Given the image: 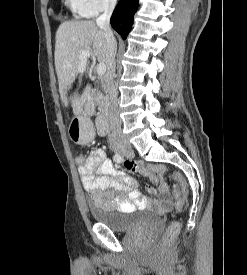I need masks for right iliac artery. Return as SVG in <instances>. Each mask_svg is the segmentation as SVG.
Returning <instances> with one entry per match:
<instances>
[{
  "label": "right iliac artery",
  "instance_id": "right-iliac-artery-1",
  "mask_svg": "<svg viewBox=\"0 0 247 275\" xmlns=\"http://www.w3.org/2000/svg\"><path fill=\"white\" fill-rule=\"evenodd\" d=\"M113 160H114L115 162H117V163H121V162L123 161V156L116 153V154L113 156Z\"/></svg>",
  "mask_w": 247,
  "mask_h": 275
}]
</instances>
